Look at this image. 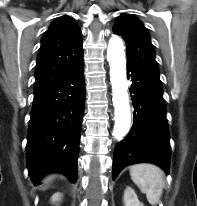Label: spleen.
I'll list each match as a JSON object with an SVG mask.
<instances>
[{"mask_svg": "<svg viewBox=\"0 0 197 206\" xmlns=\"http://www.w3.org/2000/svg\"><path fill=\"white\" fill-rule=\"evenodd\" d=\"M130 176L140 191L146 194L148 202L156 205L163 192V171L153 164L141 163L130 167Z\"/></svg>", "mask_w": 197, "mask_h": 206, "instance_id": "obj_1", "label": "spleen"}]
</instances>
